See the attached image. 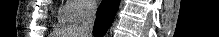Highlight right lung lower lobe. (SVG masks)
I'll return each mask as SVG.
<instances>
[{"label":"right lung lower lobe","instance_id":"right-lung-lower-lobe-1","mask_svg":"<svg viewBox=\"0 0 219 37\" xmlns=\"http://www.w3.org/2000/svg\"><path fill=\"white\" fill-rule=\"evenodd\" d=\"M120 0H103L99 6L93 28L94 37H102L111 25Z\"/></svg>","mask_w":219,"mask_h":37}]
</instances>
